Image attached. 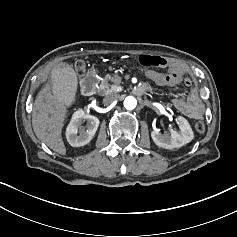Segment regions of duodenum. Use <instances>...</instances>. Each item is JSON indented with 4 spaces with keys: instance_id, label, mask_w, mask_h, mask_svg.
Segmentation results:
<instances>
[{
    "instance_id": "410a0bca",
    "label": "duodenum",
    "mask_w": 237,
    "mask_h": 237,
    "mask_svg": "<svg viewBox=\"0 0 237 237\" xmlns=\"http://www.w3.org/2000/svg\"><path fill=\"white\" fill-rule=\"evenodd\" d=\"M98 81V76L95 71H88L80 81L81 92L85 96H90L93 94Z\"/></svg>"
}]
</instances>
